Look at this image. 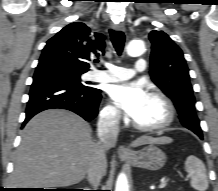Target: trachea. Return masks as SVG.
<instances>
[{
    "mask_svg": "<svg viewBox=\"0 0 218 191\" xmlns=\"http://www.w3.org/2000/svg\"><path fill=\"white\" fill-rule=\"evenodd\" d=\"M110 37L113 43V46L118 55H121L124 48L125 43V35L122 31L110 30ZM98 62V60H96Z\"/></svg>",
    "mask_w": 218,
    "mask_h": 191,
    "instance_id": "3493384b",
    "label": "trachea"
}]
</instances>
